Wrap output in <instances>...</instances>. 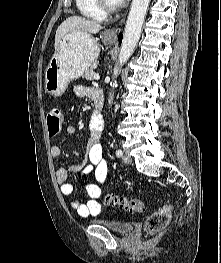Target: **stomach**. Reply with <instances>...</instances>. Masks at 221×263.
Wrapping results in <instances>:
<instances>
[{"label": "stomach", "mask_w": 221, "mask_h": 263, "mask_svg": "<svg viewBox=\"0 0 221 263\" xmlns=\"http://www.w3.org/2000/svg\"><path fill=\"white\" fill-rule=\"evenodd\" d=\"M105 45L115 41L102 37ZM97 39L92 35L75 31L66 34L52 56L45 71V90L52 96L65 92L70 81L82 76L99 56Z\"/></svg>", "instance_id": "stomach-1"}]
</instances>
